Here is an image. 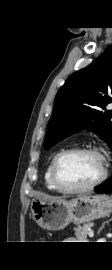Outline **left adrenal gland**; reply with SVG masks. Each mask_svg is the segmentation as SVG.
I'll return each mask as SVG.
<instances>
[{
    "label": "left adrenal gland",
    "mask_w": 112,
    "mask_h": 270,
    "mask_svg": "<svg viewBox=\"0 0 112 270\" xmlns=\"http://www.w3.org/2000/svg\"><path fill=\"white\" fill-rule=\"evenodd\" d=\"M110 221H112V218H111L109 221L103 223V225H102L101 228L99 229V232L104 228L105 224H106V223H109Z\"/></svg>",
    "instance_id": "obj_1"
}]
</instances>
